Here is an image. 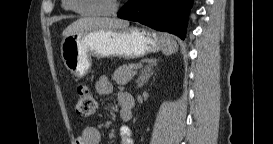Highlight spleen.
Returning <instances> with one entry per match:
<instances>
[{"label":"spleen","instance_id":"obj_1","mask_svg":"<svg viewBox=\"0 0 273 144\" xmlns=\"http://www.w3.org/2000/svg\"><path fill=\"white\" fill-rule=\"evenodd\" d=\"M160 39L162 42V52L165 55H171L177 51V44L169 35L161 34Z\"/></svg>","mask_w":273,"mask_h":144}]
</instances>
